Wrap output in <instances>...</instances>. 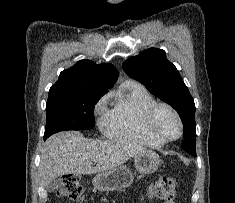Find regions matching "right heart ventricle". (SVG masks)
Instances as JSON below:
<instances>
[{"instance_id": "right-heart-ventricle-1", "label": "right heart ventricle", "mask_w": 235, "mask_h": 203, "mask_svg": "<svg viewBox=\"0 0 235 203\" xmlns=\"http://www.w3.org/2000/svg\"><path fill=\"white\" fill-rule=\"evenodd\" d=\"M110 97L114 104L104 120L108 135L150 147L162 146L163 143L149 136L144 128L145 114L157 101L142 85L126 83Z\"/></svg>"}]
</instances>
